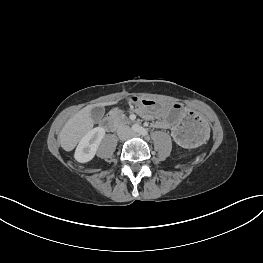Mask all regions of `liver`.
Listing matches in <instances>:
<instances>
[{"mask_svg":"<svg viewBox=\"0 0 263 263\" xmlns=\"http://www.w3.org/2000/svg\"><path fill=\"white\" fill-rule=\"evenodd\" d=\"M115 103L117 102H104L96 105H88L78 111L65 123L59 134L61 147L65 151L73 150L84 135L93 128L95 122L91 116V110L94 107L112 105Z\"/></svg>","mask_w":263,"mask_h":263,"instance_id":"liver-1","label":"liver"}]
</instances>
